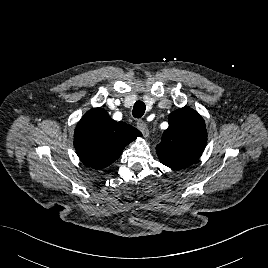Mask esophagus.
<instances>
[{"mask_svg":"<svg viewBox=\"0 0 268 268\" xmlns=\"http://www.w3.org/2000/svg\"><path fill=\"white\" fill-rule=\"evenodd\" d=\"M137 128L142 132L143 136L147 138L149 136V130L146 123L143 120L137 121Z\"/></svg>","mask_w":268,"mask_h":268,"instance_id":"esophagus-1","label":"esophagus"}]
</instances>
